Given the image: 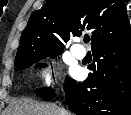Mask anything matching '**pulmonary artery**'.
<instances>
[{
  "mask_svg": "<svg viewBox=\"0 0 131 115\" xmlns=\"http://www.w3.org/2000/svg\"><path fill=\"white\" fill-rule=\"evenodd\" d=\"M71 53L77 58V59H82L85 56V50L82 49L81 47L73 46L71 48Z\"/></svg>",
  "mask_w": 131,
  "mask_h": 115,
  "instance_id": "pulmonary-artery-1",
  "label": "pulmonary artery"
}]
</instances>
